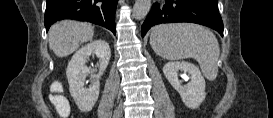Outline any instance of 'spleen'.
Listing matches in <instances>:
<instances>
[{"instance_id":"1","label":"spleen","mask_w":273,"mask_h":118,"mask_svg":"<svg viewBox=\"0 0 273 118\" xmlns=\"http://www.w3.org/2000/svg\"><path fill=\"white\" fill-rule=\"evenodd\" d=\"M150 45L164 59L194 58L203 75L215 80L220 54L218 40L208 29L195 24H163L155 26L150 35Z\"/></svg>"}]
</instances>
